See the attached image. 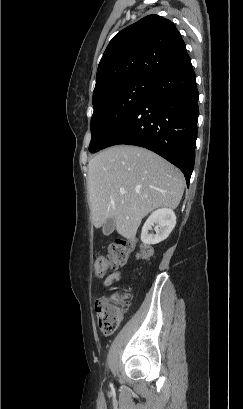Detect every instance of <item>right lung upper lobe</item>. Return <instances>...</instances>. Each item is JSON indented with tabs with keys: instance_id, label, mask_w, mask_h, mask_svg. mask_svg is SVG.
<instances>
[{
	"instance_id": "right-lung-upper-lobe-1",
	"label": "right lung upper lobe",
	"mask_w": 243,
	"mask_h": 409,
	"mask_svg": "<svg viewBox=\"0 0 243 409\" xmlns=\"http://www.w3.org/2000/svg\"><path fill=\"white\" fill-rule=\"evenodd\" d=\"M186 53L174 23L155 14L142 18L108 44L98 66L92 102L133 79L157 81Z\"/></svg>"
}]
</instances>
